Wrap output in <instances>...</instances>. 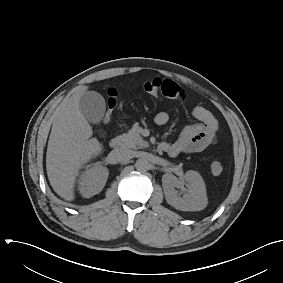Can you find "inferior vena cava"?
Returning <instances> with one entry per match:
<instances>
[{"mask_svg": "<svg viewBox=\"0 0 283 283\" xmlns=\"http://www.w3.org/2000/svg\"><path fill=\"white\" fill-rule=\"evenodd\" d=\"M134 152L126 148H117L111 151L110 159L112 163H119L123 161L130 160L133 158Z\"/></svg>", "mask_w": 283, "mask_h": 283, "instance_id": "obj_1", "label": "inferior vena cava"}]
</instances>
